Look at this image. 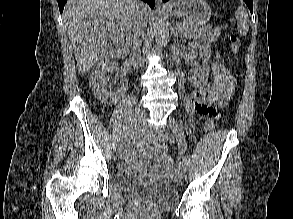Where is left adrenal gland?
Instances as JSON below:
<instances>
[{"label":"left adrenal gland","mask_w":293,"mask_h":219,"mask_svg":"<svg viewBox=\"0 0 293 219\" xmlns=\"http://www.w3.org/2000/svg\"><path fill=\"white\" fill-rule=\"evenodd\" d=\"M172 31L175 37H177V35L179 34V30H177V28L175 26H172ZM181 33V32H180Z\"/></svg>","instance_id":"1"}]
</instances>
